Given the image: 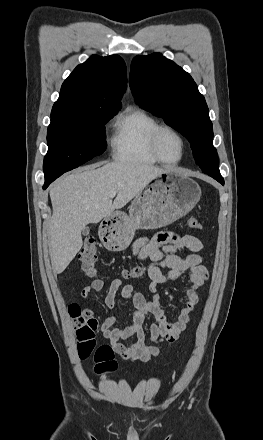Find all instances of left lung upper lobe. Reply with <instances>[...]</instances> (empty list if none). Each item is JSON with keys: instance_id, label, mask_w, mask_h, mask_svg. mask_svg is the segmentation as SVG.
Listing matches in <instances>:
<instances>
[{"instance_id": "5c2ea615", "label": "left lung upper lobe", "mask_w": 263, "mask_h": 440, "mask_svg": "<svg viewBox=\"0 0 263 440\" xmlns=\"http://www.w3.org/2000/svg\"><path fill=\"white\" fill-rule=\"evenodd\" d=\"M129 85L136 103L187 137L204 173L220 175L209 110L187 72L160 53L136 56Z\"/></svg>"}]
</instances>
